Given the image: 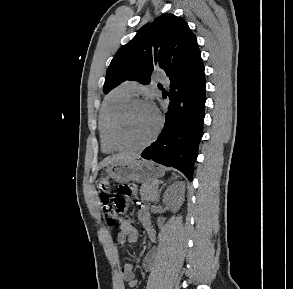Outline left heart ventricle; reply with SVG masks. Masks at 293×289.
<instances>
[{"mask_svg":"<svg viewBox=\"0 0 293 289\" xmlns=\"http://www.w3.org/2000/svg\"><path fill=\"white\" fill-rule=\"evenodd\" d=\"M156 124L154 111L148 105L137 104L129 109L121 121L119 136L128 145H138L150 138Z\"/></svg>","mask_w":293,"mask_h":289,"instance_id":"1","label":"left heart ventricle"}]
</instances>
